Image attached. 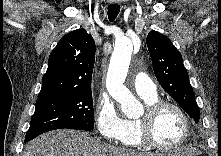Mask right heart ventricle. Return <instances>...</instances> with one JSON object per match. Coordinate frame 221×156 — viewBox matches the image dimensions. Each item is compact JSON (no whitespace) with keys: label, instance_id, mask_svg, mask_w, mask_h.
Returning a JSON list of instances; mask_svg holds the SVG:
<instances>
[{"label":"right heart ventricle","instance_id":"1","mask_svg":"<svg viewBox=\"0 0 221 156\" xmlns=\"http://www.w3.org/2000/svg\"><path fill=\"white\" fill-rule=\"evenodd\" d=\"M141 98L144 100V102L147 105L158 101L157 95L154 97L141 96ZM120 141L124 145L131 146V147H138L142 145L137 134V120L135 119L124 120V131H123Z\"/></svg>","mask_w":221,"mask_h":156}]
</instances>
